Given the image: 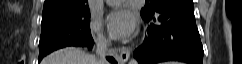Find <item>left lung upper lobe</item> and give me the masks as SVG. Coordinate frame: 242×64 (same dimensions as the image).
I'll use <instances>...</instances> for the list:
<instances>
[{"label":"left lung upper lobe","instance_id":"obj_1","mask_svg":"<svg viewBox=\"0 0 242 64\" xmlns=\"http://www.w3.org/2000/svg\"><path fill=\"white\" fill-rule=\"evenodd\" d=\"M148 4L142 8L141 13L147 14L154 11V9L159 6L162 2L166 0H145Z\"/></svg>","mask_w":242,"mask_h":64}]
</instances>
